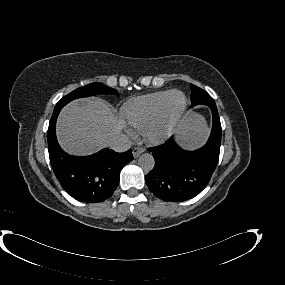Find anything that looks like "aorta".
Returning <instances> with one entry per match:
<instances>
[{"label": "aorta", "mask_w": 285, "mask_h": 285, "mask_svg": "<svg viewBox=\"0 0 285 285\" xmlns=\"http://www.w3.org/2000/svg\"><path fill=\"white\" fill-rule=\"evenodd\" d=\"M138 164L144 171L149 172L154 168L155 160L151 154L144 153L139 156Z\"/></svg>", "instance_id": "aorta-1"}]
</instances>
